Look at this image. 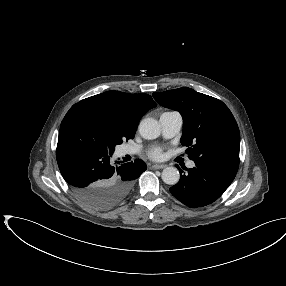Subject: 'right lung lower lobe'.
Masks as SVG:
<instances>
[{"label": "right lung lower lobe", "instance_id": "right-lung-lower-lobe-1", "mask_svg": "<svg viewBox=\"0 0 286 286\" xmlns=\"http://www.w3.org/2000/svg\"><path fill=\"white\" fill-rule=\"evenodd\" d=\"M112 154L86 138L74 127L61 123L56 150L57 163L74 194L93 208L106 209L122 201L133 181L146 170V164L135 162L119 165Z\"/></svg>", "mask_w": 286, "mask_h": 286}]
</instances>
